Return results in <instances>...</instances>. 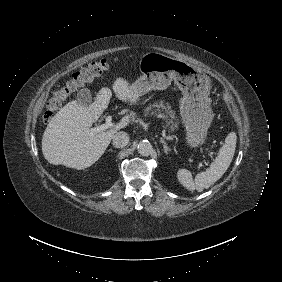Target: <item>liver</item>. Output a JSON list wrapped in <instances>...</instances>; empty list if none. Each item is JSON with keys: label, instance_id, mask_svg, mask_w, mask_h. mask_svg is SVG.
<instances>
[{"label": "liver", "instance_id": "1", "mask_svg": "<svg viewBox=\"0 0 282 282\" xmlns=\"http://www.w3.org/2000/svg\"><path fill=\"white\" fill-rule=\"evenodd\" d=\"M114 91L120 97H130L125 83L118 80ZM111 97L109 89H102L95 104L86 109L75 101L68 103L49 122L42 139L45 159L53 164L86 168L93 164L109 145L115 129L99 134L91 129L107 107ZM134 99L139 96L133 94Z\"/></svg>", "mask_w": 282, "mask_h": 282}]
</instances>
